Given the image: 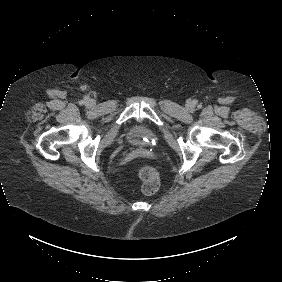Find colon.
I'll return each mask as SVG.
<instances>
[{
	"instance_id": "obj_1",
	"label": "colon",
	"mask_w": 282,
	"mask_h": 282,
	"mask_svg": "<svg viewBox=\"0 0 282 282\" xmlns=\"http://www.w3.org/2000/svg\"><path fill=\"white\" fill-rule=\"evenodd\" d=\"M138 174L142 181V191L148 195L154 194L161 182L158 171L150 166H142L139 167Z\"/></svg>"
}]
</instances>
